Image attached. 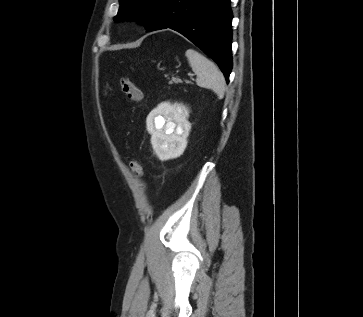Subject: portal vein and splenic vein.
I'll list each match as a JSON object with an SVG mask.
<instances>
[{"label": "portal vein and splenic vein", "instance_id": "1", "mask_svg": "<svg viewBox=\"0 0 363 317\" xmlns=\"http://www.w3.org/2000/svg\"><path fill=\"white\" fill-rule=\"evenodd\" d=\"M188 75L190 76V78H193V76H194L193 74H188Z\"/></svg>", "mask_w": 363, "mask_h": 317}]
</instances>
